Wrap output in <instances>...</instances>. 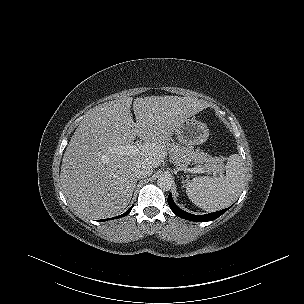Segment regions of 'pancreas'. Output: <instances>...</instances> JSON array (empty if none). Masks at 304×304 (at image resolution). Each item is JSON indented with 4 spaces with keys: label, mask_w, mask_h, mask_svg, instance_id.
<instances>
[{
    "label": "pancreas",
    "mask_w": 304,
    "mask_h": 304,
    "mask_svg": "<svg viewBox=\"0 0 304 304\" xmlns=\"http://www.w3.org/2000/svg\"><path fill=\"white\" fill-rule=\"evenodd\" d=\"M168 150L171 161L179 169H185L191 163H195L203 164L199 167L203 168L204 172H220L224 165V159L221 157H212L201 150H194L177 143H171Z\"/></svg>",
    "instance_id": "1"
}]
</instances>
